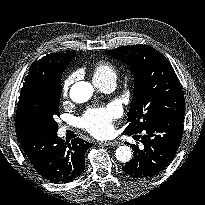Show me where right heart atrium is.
Masks as SVG:
<instances>
[{
	"label": "right heart atrium",
	"instance_id": "obj_1",
	"mask_svg": "<svg viewBox=\"0 0 205 205\" xmlns=\"http://www.w3.org/2000/svg\"><path fill=\"white\" fill-rule=\"evenodd\" d=\"M75 74H70L64 81L62 86V94L66 95L72 83L75 81Z\"/></svg>",
	"mask_w": 205,
	"mask_h": 205
}]
</instances>
